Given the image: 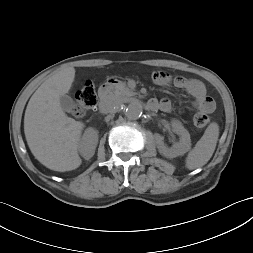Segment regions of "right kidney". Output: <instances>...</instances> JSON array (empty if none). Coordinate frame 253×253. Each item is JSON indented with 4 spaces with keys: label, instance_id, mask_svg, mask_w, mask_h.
<instances>
[{
    "label": "right kidney",
    "instance_id": "1",
    "mask_svg": "<svg viewBox=\"0 0 253 253\" xmlns=\"http://www.w3.org/2000/svg\"><path fill=\"white\" fill-rule=\"evenodd\" d=\"M98 143V131L92 127L87 128L79 142L78 150L81 156L89 160L93 157Z\"/></svg>",
    "mask_w": 253,
    "mask_h": 253
}]
</instances>
